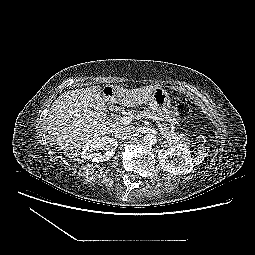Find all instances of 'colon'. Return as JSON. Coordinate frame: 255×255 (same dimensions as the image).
Here are the masks:
<instances>
[{
	"instance_id": "obj_1",
	"label": "colon",
	"mask_w": 255,
	"mask_h": 255,
	"mask_svg": "<svg viewBox=\"0 0 255 255\" xmlns=\"http://www.w3.org/2000/svg\"><path fill=\"white\" fill-rule=\"evenodd\" d=\"M176 112L180 117L185 118L189 115L190 109L186 104H179L176 107Z\"/></svg>"
}]
</instances>
